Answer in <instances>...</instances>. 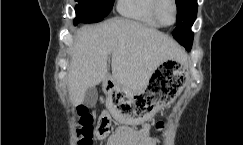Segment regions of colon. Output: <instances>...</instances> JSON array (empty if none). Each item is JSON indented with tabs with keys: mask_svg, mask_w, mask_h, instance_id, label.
<instances>
[{
	"mask_svg": "<svg viewBox=\"0 0 243 145\" xmlns=\"http://www.w3.org/2000/svg\"><path fill=\"white\" fill-rule=\"evenodd\" d=\"M77 116V122L79 125L78 134L80 136L78 145H92L94 136L98 139L104 140L110 135L109 116H100L95 127L93 125V116L89 113L85 106H79L77 108ZM157 127L161 128L162 123L158 122Z\"/></svg>",
	"mask_w": 243,
	"mask_h": 145,
	"instance_id": "obj_1",
	"label": "colon"
}]
</instances>
